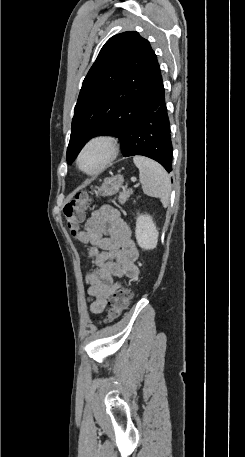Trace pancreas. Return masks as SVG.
<instances>
[{
    "label": "pancreas",
    "mask_w": 245,
    "mask_h": 457,
    "mask_svg": "<svg viewBox=\"0 0 245 457\" xmlns=\"http://www.w3.org/2000/svg\"><path fill=\"white\" fill-rule=\"evenodd\" d=\"M122 188H123V190L119 194V202H121V204H124V202H126V200H128L132 190H131V188H127V186H122Z\"/></svg>",
    "instance_id": "pancreas-1"
}]
</instances>
